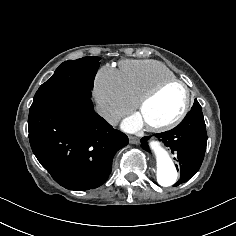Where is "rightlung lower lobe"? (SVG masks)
Returning <instances> with one entry per match:
<instances>
[{"mask_svg":"<svg viewBox=\"0 0 236 236\" xmlns=\"http://www.w3.org/2000/svg\"><path fill=\"white\" fill-rule=\"evenodd\" d=\"M33 153L52 178L69 190L102 185L128 137L94 112L89 97L51 102L29 111Z\"/></svg>","mask_w":236,"mask_h":236,"instance_id":"right-lung-lower-lobe-1","label":"right lung lower lobe"}]
</instances>
